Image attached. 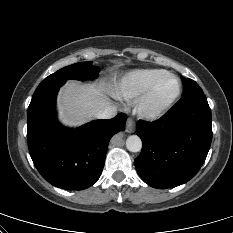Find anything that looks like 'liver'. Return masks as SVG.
<instances>
[{"label": "liver", "mask_w": 233, "mask_h": 233, "mask_svg": "<svg viewBox=\"0 0 233 233\" xmlns=\"http://www.w3.org/2000/svg\"><path fill=\"white\" fill-rule=\"evenodd\" d=\"M100 85L67 82L60 90L58 97L59 116L65 125L77 126L90 121L95 114L110 104Z\"/></svg>", "instance_id": "obj_1"}]
</instances>
